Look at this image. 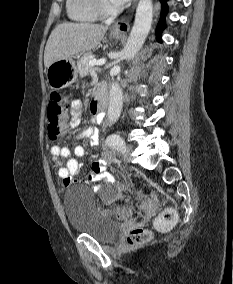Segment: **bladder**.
I'll return each mask as SVG.
<instances>
[{
    "label": "bladder",
    "instance_id": "1",
    "mask_svg": "<svg viewBox=\"0 0 233 284\" xmlns=\"http://www.w3.org/2000/svg\"><path fill=\"white\" fill-rule=\"evenodd\" d=\"M118 196L115 186L102 189V197L111 201ZM64 208L70 228L78 233L89 235L104 243L115 239L120 231L119 224L113 220L96 201L91 189L86 186H73L64 196Z\"/></svg>",
    "mask_w": 233,
    "mask_h": 284
}]
</instances>
